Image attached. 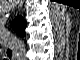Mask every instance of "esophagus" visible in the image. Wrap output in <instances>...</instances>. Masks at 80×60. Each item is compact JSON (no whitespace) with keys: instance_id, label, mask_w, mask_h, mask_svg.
<instances>
[{"instance_id":"esophagus-1","label":"esophagus","mask_w":80,"mask_h":60,"mask_svg":"<svg viewBox=\"0 0 80 60\" xmlns=\"http://www.w3.org/2000/svg\"><path fill=\"white\" fill-rule=\"evenodd\" d=\"M10 50H11V52H12V58L14 57V54H15V52H14V50H13V48L12 47H10Z\"/></svg>"}]
</instances>
